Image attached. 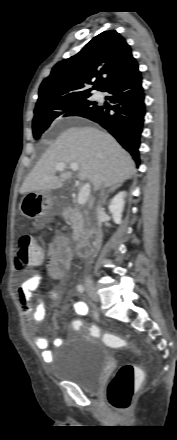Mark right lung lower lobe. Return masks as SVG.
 <instances>
[{
  "instance_id": "1",
  "label": "right lung lower lobe",
  "mask_w": 177,
  "mask_h": 440,
  "mask_svg": "<svg viewBox=\"0 0 177 440\" xmlns=\"http://www.w3.org/2000/svg\"><path fill=\"white\" fill-rule=\"evenodd\" d=\"M105 91L110 94L107 98L114 105L112 107L97 106L83 117L107 129L139 165V146L146 109L138 66L116 80Z\"/></svg>"
}]
</instances>
